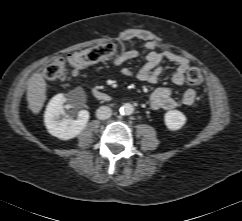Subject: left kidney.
I'll return each instance as SVG.
<instances>
[{"label":"left kidney","mask_w":242,"mask_h":221,"mask_svg":"<svg viewBox=\"0 0 242 221\" xmlns=\"http://www.w3.org/2000/svg\"><path fill=\"white\" fill-rule=\"evenodd\" d=\"M165 125L171 131L181 129L186 123L185 115L178 110H170L164 116Z\"/></svg>","instance_id":"5707ae66"}]
</instances>
